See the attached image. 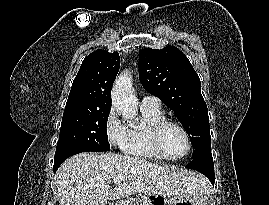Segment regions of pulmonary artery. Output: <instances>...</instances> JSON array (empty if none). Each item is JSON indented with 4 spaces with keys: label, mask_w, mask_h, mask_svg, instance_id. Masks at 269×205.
<instances>
[{
    "label": "pulmonary artery",
    "mask_w": 269,
    "mask_h": 205,
    "mask_svg": "<svg viewBox=\"0 0 269 205\" xmlns=\"http://www.w3.org/2000/svg\"><path fill=\"white\" fill-rule=\"evenodd\" d=\"M160 100L154 96H145L141 101V108L147 109H159L160 108Z\"/></svg>",
    "instance_id": "pulmonary-artery-1"
}]
</instances>
